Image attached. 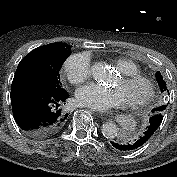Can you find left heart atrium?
I'll use <instances>...</instances> for the list:
<instances>
[{
  "instance_id": "39dd6f15",
  "label": "left heart atrium",
  "mask_w": 177,
  "mask_h": 177,
  "mask_svg": "<svg viewBox=\"0 0 177 177\" xmlns=\"http://www.w3.org/2000/svg\"><path fill=\"white\" fill-rule=\"evenodd\" d=\"M75 97L80 105L99 111L118 107L125 102L119 89L107 88L95 83L80 87Z\"/></svg>"
}]
</instances>
